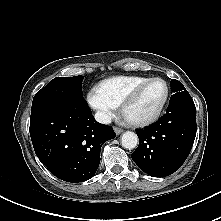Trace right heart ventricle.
Segmentation results:
<instances>
[{"label": "right heart ventricle", "instance_id": "right-heart-ventricle-1", "mask_svg": "<svg viewBox=\"0 0 221 221\" xmlns=\"http://www.w3.org/2000/svg\"><path fill=\"white\" fill-rule=\"evenodd\" d=\"M148 79L141 76H118L102 81L98 87L111 101L121 105L138 85Z\"/></svg>", "mask_w": 221, "mask_h": 221}]
</instances>
